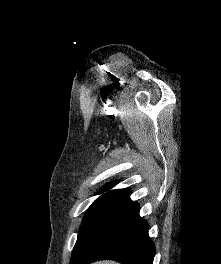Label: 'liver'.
<instances>
[{
  "label": "liver",
  "mask_w": 221,
  "mask_h": 264,
  "mask_svg": "<svg viewBox=\"0 0 221 264\" xmlns=\"http://www.w3.org/2000/svg\"><path fill=\"white\" fill-rule=\"evenodd\" d=\"M94 264H118V263L113 262V261H99V262L94 263Z\"/></svg>",
  "instance_id": "6515ba94"
}]
</instances>
